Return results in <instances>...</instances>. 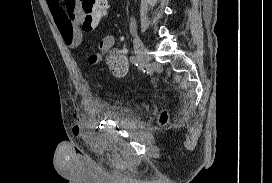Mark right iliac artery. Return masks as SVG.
<instances>
[{"mask_svg":"<svg viewBox=\"0 0 272 183\" xmlns=\"http://www.w3.org/2000/svg\"><path fill=\"white\" fill-rule=\"evenodd\" d=\"M130 62L133 64V65H138V58L136 56H130ZM137 71V70H136Z\"/></svg>","mask_w":272,"mask_h":183,"instance_id":"82829eb1","label":"right iliac artery"}]
</instances>
